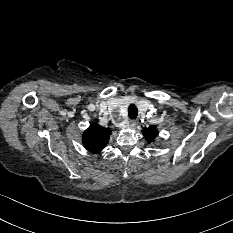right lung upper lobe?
Wrapping results in <instances>:
<instances>
[{
    "label": "right lung upper lobe",
    "instance_id": "1",
    "mask_svg": "<svg viewBox=\"0 0 233 233\" xmlns=\"http://www.w3.org/2000/svg\"><path fill=\"white\" fill-rule=\"evenodd\" d=\"M110 134V129L103 128L98 124L93 123L84 132L82 141L86 149L96 153L101 151L107 145Z\"/></svg>",
    "mask_w": 233,
    "mask_h": 233
}]
</instances>
